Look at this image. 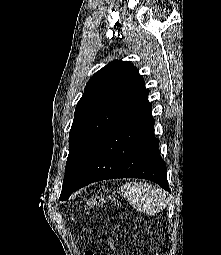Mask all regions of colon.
<instances>
[{"label": "colon", "mask_w": 221, "mask_h": 255, "mask_svg": "<svg viewBox=\"0 0 221 255\" xmlns=\"http://www.w3.org/2000/svg\"><path fill=\"white\" fill-rule=\"evenodd\" d=\"M109 200L108 196L103 193H97L91 196L86 202V209H91L95 207H100L104 205ZM84 255H94L92 250H86Z\"/></svg>", "instance_id": "colon-1"}]
</instances>
